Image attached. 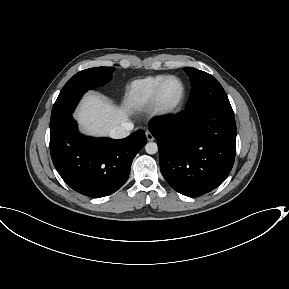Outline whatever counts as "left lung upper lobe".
Returning <instances> with one entry per match:
<instances>
[{"mask_svg":"<svg viewBox=\"0 0 289 289\" xmlns=\"http://www.w3.org/2000/svg\"><path fill=\"white\" fill-rule=\"evenodd\" d=\"M184 71L190 77L192 87L185 110L219 107L233 111L224 89L212 75L192 67H185Z\"/></svg>","mask_w":289,"mask_h":289,"instance_id":"obj_1","label":"left lung upper lobe"}]
</instances>
